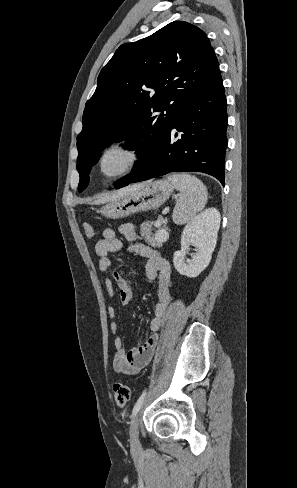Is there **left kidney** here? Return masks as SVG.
<instances>
[{"label": "left kidney", "instance_id": "5707ae66", "mask_svg": "<svg viewBox=\"0 0 297 488\" xmlns=\"http://www.w3.org/2000/svg\"><path fill=\"white\" fill-rule=\"evenodd\" d=\"M220 220L219 211L209 208L186 224L181 236V250L173 255V264L179 274L193 278L208 266L216 245ZM190 245L196 247V253L192 259H187Z\"/></svg>", "mask_w": 297, "mask_h": 488}]
</instances>
